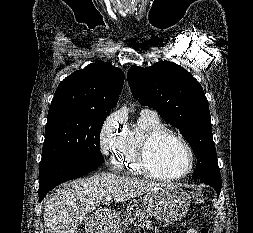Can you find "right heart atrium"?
<instances>
[{
    "label": "right heart atrium",
    "instance_id": "right-heart-atrium-1",
    "mask_svg": "<svg viewBox=\"0 0 253 233\" xmlns=\"http://www.w3.org/2000/svg\"><path fill=\"white\" fill-rule=\"evenodd\" d=\"M123 117L119 112L110 114L99 132V147L103 156H110L116 149L124 131Z\"/></svg>",
    "mask_w": 253,
    "mask_h": 233
}]
</instances>
